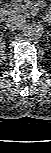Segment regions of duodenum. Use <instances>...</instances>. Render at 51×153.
Here are the masks:
<instances>
[{"instance_id":"duodenum-1","label":"duodenum","mask_w":51,"mask_h":153,"mask_svg":"<svg viewBox=\"0 0 51 153\" xmlns=\"http://www.w3.org/2000/svg\"><path fill=\"white\" fill-rule=\"evenodd\" d=\"M5 16H6L5 11H1V12H0V19H1V20H4V19H5Z\"/></svg>"}]
</instances>
